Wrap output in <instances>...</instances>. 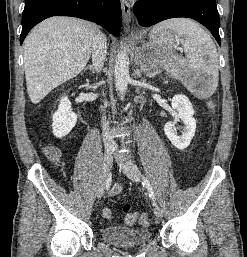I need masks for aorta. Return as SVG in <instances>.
Segmentation results:
<instances>
[{"instance_id":"aorta-1","label":"aorta","mask_w":247,"mask_h":257,"mask_svg":"<svg viewBox=\"0 0 247 257\" xmlns=\"http://www.w3.org/2000/svg\"><path fill=\"white\" fill-rule=\"evenodd\" d=\"M127 51H128L127 47L122 46L121 50L117 54L116 61H115V70H114L115 86H116V91L119 93L121 97L125 95L128 82L130 80L129 58L127 55Z\"/></svg>"}]
</instances>
